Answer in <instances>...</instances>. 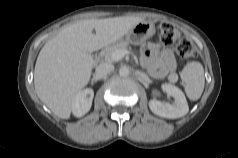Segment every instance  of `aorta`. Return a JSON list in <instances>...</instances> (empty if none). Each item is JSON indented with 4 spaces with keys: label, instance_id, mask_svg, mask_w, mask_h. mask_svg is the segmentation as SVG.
I'll use <instances>...</instances> for the list:
<instances>
[{
    "label": "aorta",
    "instance_id": "obj_1",
    "mask_svg": "<svg viewBox=\"0 0 238 158\" xmlns=\"http://www.w3.org/2000/svg\"><path fill=\"white\" fill-rule=\"evenodd\" d=\"M129 74H130V71L127 67L123 66L119 69V75L121 77H127V76H129Z\"/></svg>",
    "mask_w": 238,
    "mask_h": 158
}]
</instances>
